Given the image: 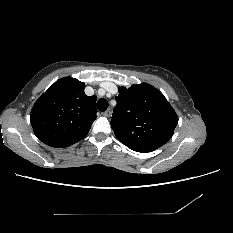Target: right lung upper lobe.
Wrapping results in <instances>:
<instances>
[{
	"mask_svg": "<svg viewBox=\"0 0 233 233\" xmlns=\"http://www.w3.org/2000/svg\"><path fill=\"white\" fill-rule=\"evenodd\" d=\"M85 84L72 77L56 81L36 101L30 121L46 145L65 148L83 139L96 119V96L84 93Z\"/></svg>",
	"mask_w": 233,
	"mask_h": 233,
	"instance_id": "cb5924a9",
	"label": "right lung upper lobe"
}]
</instances>
